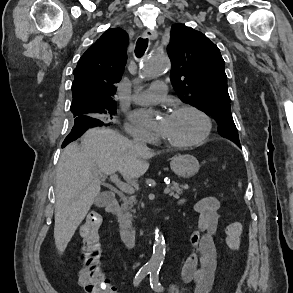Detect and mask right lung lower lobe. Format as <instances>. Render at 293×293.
Returning a JSON list of instances; mask_svg holds the SVG:
<instances>
[{
  "instance_id": "98d812e1",
  "label": "right lung lower lobe",
  "mask_w": 293,
  "mask_h": 293,
  "mask_svg": "<svg viewBox=\"0 0 293 293\" xmlns=\"http://www.w3.org/2000/svg\"><path fill=\"white\" fill-rule=\"evenodd\" d=\"M108 126L109 123L104 122L98 118L90 117V116H79L76 117L74 120V125L72 127L71 132L65 138L64 142L62 143V148L68 145L70 142L76 140L80 137L87 129L95 126Z\"/></svg>"
}]
</instances>
